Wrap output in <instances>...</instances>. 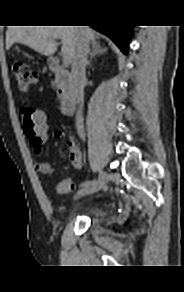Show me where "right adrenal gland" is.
Segmentation results:
<instances>
[{"mask_svg":"<svg viewBox=\"0 0 184 292\" xmlns=\"http://www.w3.org/2000/svg\"><path fill=\"white\" fill-rule=\"evenodd\" d=\"M107 49L106 48H102L99 44L93 45L92 46V51L90 53V59L87 63V66H90L91 61L94 57L102 55L104 52H106Z\"/></svg>","mask_w":184,"mask_h":292,"instance_id":"1","label":"right adrenal gland"}]
</instances>
